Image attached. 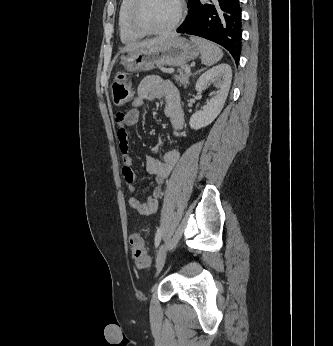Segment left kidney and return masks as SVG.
Listing matches in <instances>:
<instances>
[{
	"label": "left kidney",
	"mask_w": 333,
	"mask_h": 346,
	"mask_svg": "<svg viewBox=\"0 0 333 346\" xmlns=\"http://www.w3.org/2000/svg\"><path fill=\"white\" fill-rule=\"evenodd\" d=\"M232 80V69L228 64H219L203 73L196 83V91H204L213 83L218 89L217 94L210 99L202 110L194 113L189 121L192 129L198 130L211 124L220 114L227 99Z\"/></svg>",
	"instance_id": "obj_1"
}]
</instances>
